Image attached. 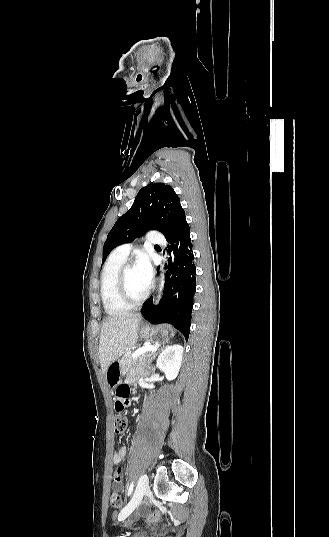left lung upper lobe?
I'll return each mask as SVG.
<instances>
[{
  "mask_svg": "<svg viewBox=\"0 0 329 537\" xmlns=\"http://www.w3.org/2000/svg\"><path fill=\"white\" fill-rule=\"evenodd\" d=\"M185 222V212L172 187L164 183L149 184L140 189L132 207L110 230L104 243L103 262L115 247L131 242L149 230L162 232L168 241Z\"/></svg>",
  "mask_w": 329,
  "mask_h": 537,
  "instance_id": "5c2ea615",
  "label": "left lung upper lobe"
}]
</instances>
